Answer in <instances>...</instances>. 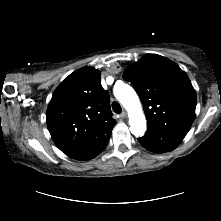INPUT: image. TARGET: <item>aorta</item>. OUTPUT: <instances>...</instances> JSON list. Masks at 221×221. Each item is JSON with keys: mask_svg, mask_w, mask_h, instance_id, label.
I'll return each instance as SVG.
<instances>
[{"mask_svg": "<svg viewBox=\"0 0 221 221\" xmlns=\"http://www.w3.org/2000/svg\"><path fill=\"white\" fill-rule=\"evenodd\" d=\"M114 95L128 112L131 133L136 137L143 136L146 131V118L135 90L122 83L114 88Z\"/></svg>", "mask_w": 221, "mask_h": 221, "instance_id": "obj_1", "label": "aorta"}]
</instances>
